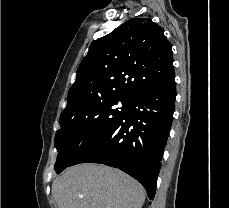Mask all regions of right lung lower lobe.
I'll list each match as a JSON object with an SVG mask.
<instances>
[{
    "label": "right lung lower lobe",
    "mask_w": 229,
    "mask_h": 208,
    "mask_svg": "<svg viewBox=\"0 0 229 208\" xmlns=\"http://www.w3.org/2000/svg\"><path fill=\"white\" fill-rule=\"evenodd\" d=\"M176 99L174 73L131 99L127 111L84 147L69 166L100 163L119 168L155 196Z\"/></svg>",
    "instance_id": "obj_1"
}]
</instances>
